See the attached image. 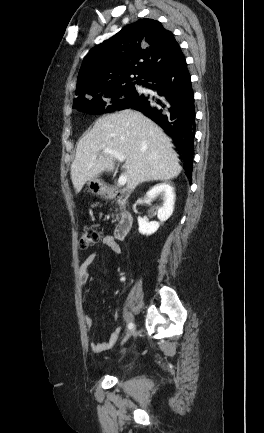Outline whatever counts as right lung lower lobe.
I'll list each match as a JSON object with an SVG mask.
<instances>
[{"label": "right lung lower lobe", "instance_id": "obj_1", "mask_svg": "<svg viewBox=\"0 0 264 433\" xmlns=\"http://www.w3.org/2000/svg\"><path fill=\"white\" fill-rule=\"evenodd\" d=\"M139 84L156 95H138L122 109L131 108L160 125L174 140L186 175L192 178L195 105L191 77L182 52L153 68Z\"/></svg>", "mask_w": 264, "mask_h": 433}]
</instances>
